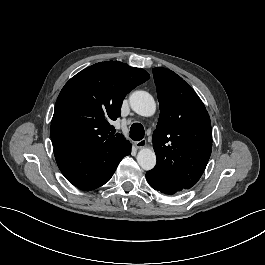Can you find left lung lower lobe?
Returning <instances> with one entry per match:
<instances>
[{
    "mask_svg": "<svg viewBox=\"0 0 265 265\" xmlns=\"http://www.w3.org/2000/svg\"><path fill=\"white\" fill-rule=\"evenodd\" d=\"M146 179L153 189L160 191L164 194L173 195L175 193L185 190L178 183L172 181L168 177L154 170L148 171L146 173Z\"/></svg>",
    "mask_w": 265,
    "mask_h": 265,
    "instance_id": "left-lung-lower-lobe-1",
    "label": "left lung lower lobe"
}]
</instances>
